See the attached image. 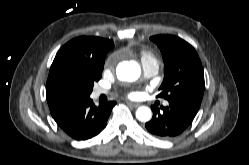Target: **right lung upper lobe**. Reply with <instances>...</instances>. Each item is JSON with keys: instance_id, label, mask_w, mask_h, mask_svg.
Masks as SVG:
<instances>
[{"instance_id": "cb5924a9", "label": "right lung upper lobe", "mask_w": 249, "mask_h": 165, "mask_svg": "<svg viewBox=\"0 0 249 165\" xmlns=\"http://www.w3.org/2000/svg\"><path fill=\"white\" fill-rule=\"evenodd\" d=\"M112 40L99 37H77L70 40L55 56L46 84L48 104L82 97V87L76 72L87 66L102 69Z\"/></svg>"}]
</instances>
